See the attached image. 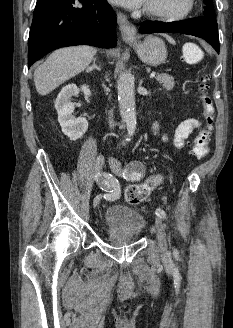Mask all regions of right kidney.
Masks as SVG:
<instances>
[{"mask_svg":"<svg viewBox=\"0 0 233 328\" xmlns=\"http://www.w3.org/2000/svg\"><path fill=\"white\" fill-rule=\"evenodd\" d=\"M79 91L80 89L75 84H68L62 88L55 101L58 122L61 125L62 132L73 141L81 138L88 129V122L85 117L76 118L73 115L74 104L70 99L72 96H77ZM81 91L86 98L91 96L88 86H81Z\"/></svg>","mask_w":233,"mask_h":328,"instance_id":"obj_1","label":"right kidney"}]
</instances>
